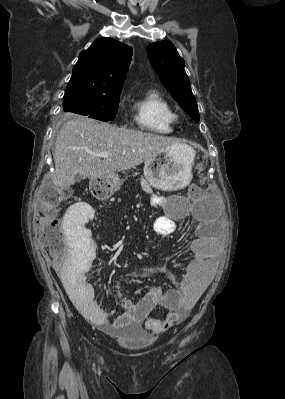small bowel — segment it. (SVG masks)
I'll use <instances>...</instances> for the list:
<instances>
[{"label": "small bowel", "instance_id": "obj_1", "mask_svg": "<svg viewBox=\"0 0 285 399\" xmlns=\"http://www.w3.org/2000/svg\"><path fill=\"white\" fill-rule=\"evenodd\" d=\"M146 193L150 196L151 204L166 208V216L158 217L151 227L152 231L158 235L169 236L176 231L174 217L194 215V207L185 204L180 197H171V202L165 205L150 190H146ZM89 220L86 209L79 204H75L67 210L63 227L69 246H78L77 259L74 261L73 267L56 268L68 296L81 313L94 326L109 334L142 323L157 305L167 308L169 313L165 319L158 320L153 328H149L154 334H163L186 319L206 289L212 272V258L205 245L208 238L205 235H200L190 241L191 259L178 289L164 291L160 286H155L137 302L125 297L118 290L117 296L124 311L113 316L112 313L104 312L99 308L94 299L93 288L86 279V272L94 260V255L90 252Z\"/></svg>", "mask_w": 285, "mask_h": 399}]
</instances>
